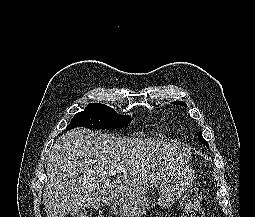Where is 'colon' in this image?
I'll return each mask as SVG.
<instances>
[{
  "instance_id": "colon-1",
  "label": "colon",
  "mask_w": 255,
  "mask_h": 217,
  "mask_svg": "<svg viewBox=\"0 0 255 217\" xmlns=\"http://www.w3.org/2000/svg\"><path fill=\"white\" fill-rule=\"evenodd\" d=\"M201 202V191L198 188L190 189L181 201L184 209L181 217H204Z\"/></svg>"
}]
</instances>
